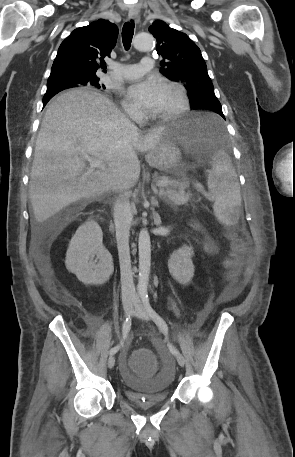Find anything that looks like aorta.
Segmentation results:
<instances>
[{
    "label": "aorta",
    "instance_id": "1",
    "mask_svg": "<svg viewBox=\"0 0 295 457\" xmlns=\"http://www.w3.org/2000/svg\"><path fill=\"white\" fill-rule=\"evenodd\" d=\"M134 47L137 50H150L154 46V38L148 33H138L133 39ZM139 248V277L138 293L143 295L147 293L149 272L151 266V242L150 235L146 229H142L138 239Z\"/></svg>",
    "mask_w": 295,
    "mask_h": 457
}]
</instances>
